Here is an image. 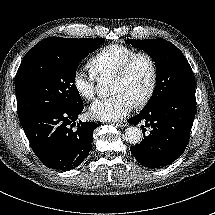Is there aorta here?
<instances>
[{
  "mask_svg": "<svg viewBox=\"0 0 215 215\" xmlns=\"http://www.w3.org/2000/svg\"><path fill=\"white\" fill-rule=\"evenodd\" d=\"M99 85H102V81H100ZM142 130L135 126H130L125 130V139L130 144H138L142 140Z\"/></svg>",
  "mask_w": 215,
  "mask_h": 215,
  "instance_id": "1",
  "label": "aorta"
}]
</instances>
